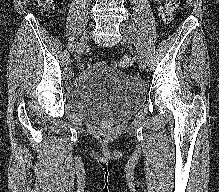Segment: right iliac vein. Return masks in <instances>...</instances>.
I'll use <instances>...</instances> for the list:
<instances>
[{"label": "right iliac vein", "instance_id": "obj_1", "mask_svg": "<svg viewBox=\"0 0 219 192\" xmlns=\"http://www.w3.org/2000/svg\"><path fill=\"white\" fill-rule=\"evenodd\" d=\"M91 27H92V25H91ZM89 34H90V32L85 34L82 37L81 42H80V44L77 48V51H76V55H75L76 58H79L81 56V54L84 52V50L86 49L89 38H90Z\"/></svg>", "mask_w": 219, "mask_h": 192}]
</instances>
